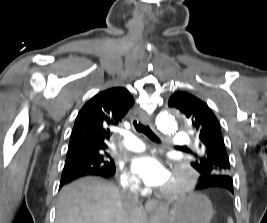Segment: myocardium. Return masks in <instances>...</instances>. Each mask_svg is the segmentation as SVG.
I'll list each match as a JSON object with an SVG mask.
<instances>
[{
  "label": "myocardium",
  "mask_w": 267,
  "mask_h": 223,
  "mask_svg": "<svg viewBox=\"0 0 267 223\" xmlns=\"http://www.w3.org/2000/svg\"><path fill=\"white\" fill-rule=\"evenodd\" d=\"M173 176L180 177L182 182L163 189V193L168 197H177L191 192L198 180L196 171L186 163H179L174 170Z\"/></svg>",
  "instance_id": "f54148a6"
}]
</instances>
